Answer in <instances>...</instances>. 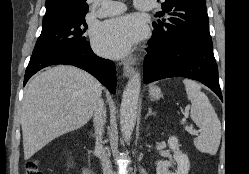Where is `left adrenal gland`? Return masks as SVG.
Here are the masks:
<instances>
[{"mask_svg": "<svg viewBox=\"0 0 249 174\" xmlns=\"http://www.w3.org/2000/svg\"><path fill=\"white\" fill-rule=\"evenodd\" d=\"M151 115L155 116L156 113L152 111V108H149V109H148V113H147L145 119H147V118H148L149 116H151Z\"/></svg>", "mask_w": 249, "mask_h": 174, "instance_id": "a2214340", "label": "left adrenal gland"}]
</instances>
